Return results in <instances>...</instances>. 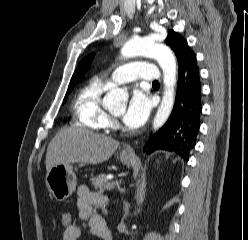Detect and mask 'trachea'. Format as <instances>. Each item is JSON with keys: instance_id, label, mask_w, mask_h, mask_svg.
<instances>
[{"instance_id": "3493384b", "label": "trachea", "mask_w": 248, "mask_h": 240, "mask_svg": "<svg viewBox=\"0 0 248 240\" xmlns=\"http://www.w3.org/2000/svg\"><path fill=\"white\" fill-rule=\"evenodd\" d=\"M153 84H159V82L158 81H154Z\"/></svg>"}]
</instances>
